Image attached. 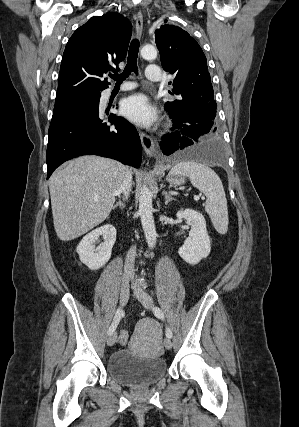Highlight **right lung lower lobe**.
I'll use <instances>...</instances> for the list:
<instances>
[{"label": "right lung lower lobe", "mask_w": 299, "mask_h": 427, "mask_svg": "<svg viewBox=\"0 0 299 427\" xmlns=\"http://www.w3.org/2000/svg\"><path fill=\"white\" fill-rule=\"evenodd\" d=\"M101 94L54 107L46 152L47 179L63 162L81 155H100L124 164H141L140 137L127 120L99 118Z\"/></svg>", "instance_id": "98d812e1"}]
</instances>
